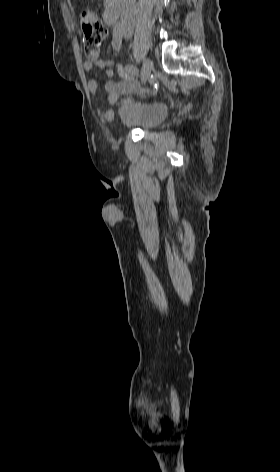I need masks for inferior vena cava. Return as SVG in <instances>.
Segmentation results:
<instances>
[{"instance_id":"inferior-vena-cava-1","label":"inferior vena cava","mask_w":280,"mask_h":472,"mask_svg":"<svg viewBox=\"0 0 280 472\" xmlns=\"http://www.w3.org/2000/svg\"><path fill=\"white\" fill-rule=\"evenodd\" d=\"M136 0H123L121 5V24L125 34H131L135 23Z\"/></svg>"}]
</instances>
